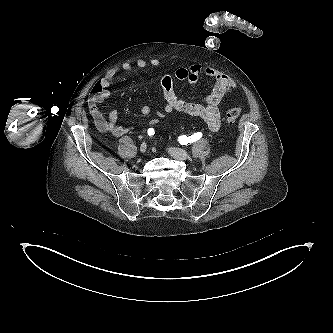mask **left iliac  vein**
Instances as JSON below:
<instances>
[{"mask_svg": "<svg viewBox=\"0 0 333 333\" xmlns=\"http://www.w3.org/2000/svg\"><path fill=\"white\" fill-rule=\"evenodd\" d=\"M168 152L170 153V155L176 159H179V160H187L190 158V154L181 149V148H175V147H171L168 149Z\"/></svg>", "mask_w": 333, "mask_h": 333, "instance_id": "1", "label": "left iliac vein"}]
</instances>
